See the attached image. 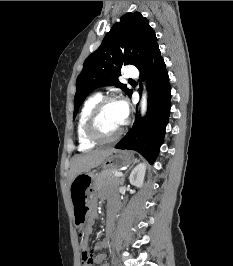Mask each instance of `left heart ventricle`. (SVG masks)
Segmentation results:
<instances>
[{"label":"left heart ventricle","mask_w":233,"mask_h":266,"mask_svg":"<svg viewBox=\"0 0 233 266\" xmlns=\"http://www.w3.org/2000/svg\"><path fill=\"white\" fill-rule=\"evenodd\" d=\"M123 125L118 102H110L102 109L97 127L103 136H111Z\"/></svg>","instance_id":"obj_1"}]
</instances>
